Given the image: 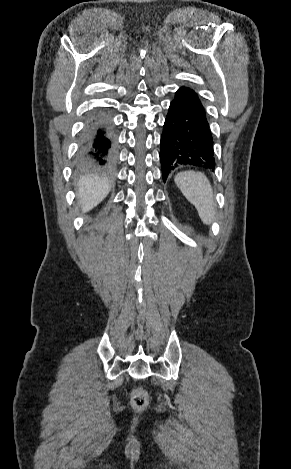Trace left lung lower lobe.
Listing matches in <instances>:
<instances>
[{
  "label": "left lung lower lobe",
  "mask_w": 291,
  "mask_h": 469,
  "mask_svg": "<svg viewBox=\"0 0 291 469\" xmlns=\"http://www.w3.org/2000/svg\"><path fill=\"white\" fill-rule=\"evenodd\" d=\"M162 177L177 167L215 168L213 138L198 95L180 87L170 103L161 136Z\"/></svg>",
  "instance_id": "obj_1"
}]
</instances>
